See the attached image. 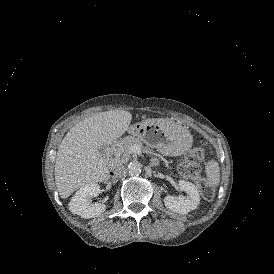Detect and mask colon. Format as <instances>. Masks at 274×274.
Instances as JSON below:
<instances>
[{
	"instance_id": "colon-1",
	"label": "colon",
	"mask_w": 274,
	"mask_h": 274,
	"mask_svg": "<svg viewBox=\"0 0 274 274\" xmlns=\"http://www.w3.org/2000/svg\"><path fill=\"white\" fill-rule=\"evenodd\" d=\"M205 146L203 144H195L186 154L185 159L178 163V170L188 176L195 179H199V183L203 192V196L210 200L213 198L214 193L211 186L199 178L200 167L199 162L204 158Z\"/></svg>"
}]
</instances>
